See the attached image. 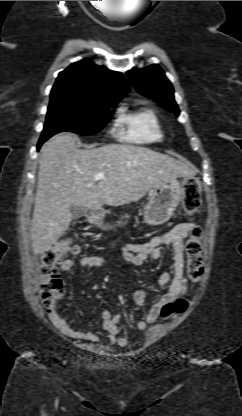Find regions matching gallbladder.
I'll list each match as a JSON object with an SVG mask.
<instances>
[{"label": "gallbladder", "mask_w": 242, "mask_h": 416, "mask_svg": "<svg viewBox=\"0 0 242 416\" xmlns=\"http://www.w3.org/2000/svg\"><path fill=\"white\" fill-rule=\"evenodd\" d=\"M70 213L73 219H78L84 214V208L72 204L70 206Z\"/></svg>", "instance_id": "gallbladder-1"}]
</instances>
